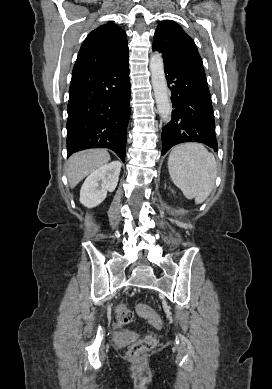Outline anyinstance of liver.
<instances>
[{
  "label": "liver",
  "instance_id": "obj_1",
  "mask_svg": "<svg viewBox=\"0 0 272 389\" xmlns=\"http://www.w3.org/2000/svg\"><path fill=\"white\" fill-rule=\"evenodd\" d=\"M110 155L105 149H89L72 155L67 164V177L74 188L87 175L108 163Z\"/></svg>",
  "mask_w": 272,
  "mask_h": 389
}]
</instances>
